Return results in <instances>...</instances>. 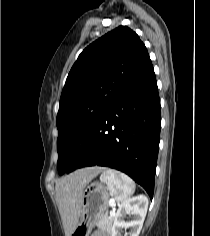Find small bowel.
<instances>
[{
	"label": "small bowel",
	"mask_w": 210,
	"mask_h": 236,
	"mask_svg": "<svg viewBox=\"0 0 210 236\" xmlns=\"http://www.w3.org/2000/svg\"><path fill=\"white\" fill-rule=\"evenodd\" d=\"M92 236H107V235L102 232H96Z\"/></svg>",
	"instance_id": "small-bowel-1"
}]
</instances>
